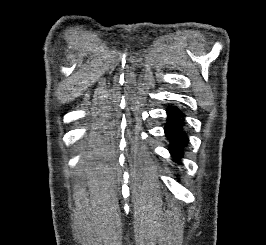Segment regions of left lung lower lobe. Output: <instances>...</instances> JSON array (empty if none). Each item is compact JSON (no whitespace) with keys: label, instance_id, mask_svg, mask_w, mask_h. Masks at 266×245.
I'll return each mask as SVG.
<instances>
[{"label":"left lung lower lobe","instance_id":"left-lung-lower-lobe-1","mask_svg":"<svg viewBox=\"0 0 266 245\" xmlns=\"http://www.w3.org/2000/svg\"><path fill=\"white\" fill-rule=\"evenodd\" d=\"M167 124L164 128L170 140V152L173 157L183 156V149L188 144L187 134L184 131V114L174 106L167 108Z\"/></svg>","mask_w":266,"mask_h":245}]
</instances>
